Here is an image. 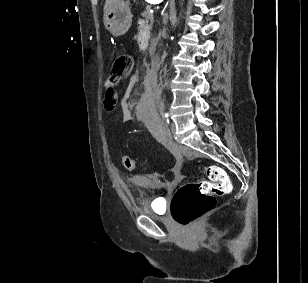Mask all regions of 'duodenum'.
Here are the masks:
<instances>
[{
    "instance_id": "duodenum-1",
    "label": "duodenum",
    "mask_w": 308,
    "mask_h": 283,
    "mask_svg": "<svg viewBox=\"0 0 308 283\" xmlns=\"http://www.w3.org/2000/svg\"><path fill=\"white\" fill-rule=\"evenodd\" d=\"M141 43L143 45H148L150 43V40H149V31L148 29H145L142 36H141Z\"/></svg>"
}]
</instances>
